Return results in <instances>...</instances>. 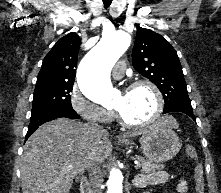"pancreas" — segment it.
<instances>
[{"mask_svg":"<svg viewBox=\"0 0 221 193\" xmlns=\"http://www.w3.org/2000/svg\"><path fill=\"white\" fill-rule=\"evenodd\" d=\"M137 160L139 161L141 172L145 174H151L158 170L164 169L163 164H155L149 160H146L142 157H138Z\"/></svg>","mask_w":221,"mask_h":193,"instance_id":"pancreas-1","label":"pancreas"}]
</instances>
